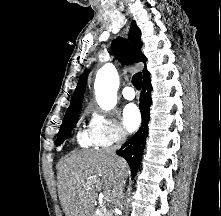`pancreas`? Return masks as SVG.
<instances>
[{
    "instance_id": "cf45deb5",
    "label": "pancreas",
    "mask_w": 221,
    "mask_h": 216,
    "mask_svg": "<svg viewBox=\"0 0 221 216\" xmlns=\"http://www.w3.org/2000/svg\"><path fill=\"white\" fill-rule=\"evenodd\" d=\"M95 216H112V212L106 206H103L98 215Z\"/></svg>"
}]
</instances>
